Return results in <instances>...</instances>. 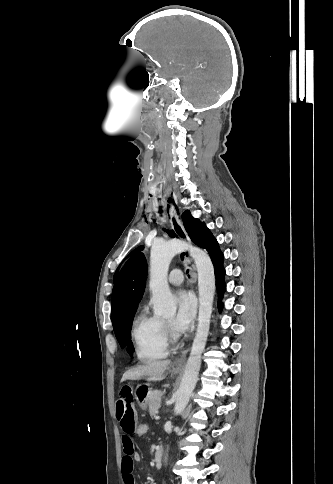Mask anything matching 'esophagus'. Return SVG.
Instances as JSON below:
<instances>
[{
  "mask_svg": "<svg viewBox=\"0 0 333 484\" xmlns=\"http://www.w3.org/2000/svg\"><path fill=\"white\" fill-rule=\"evenodd\" d=\"M181 210L174 206L173 204H170L167 210V216L169 219V222L171 224L173 233L181 240L189 242V237L183 227L182 221H181ZM185 259H188V257L185 255ZM195 276V275H194ZM187 351H185L179 358H177L174 361V366L176 367H181L185 364L186 362V355Z\"/></svg>",
  "mask_w": 333,
  "mask_h": 484,
  "instance_id": "obj_1",
  "label": "esophagus"
}]
</instances>
